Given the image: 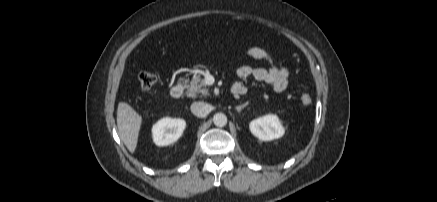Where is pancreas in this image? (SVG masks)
I'll return each mask as SVG.
<instances>
[{"mask_svg": "<svg viewBox=\"0 0 437 202\" xmlns=\"http://www.w3.org/2000/svg\"><path fill=\"white\" fill-rule=\"evenodd\" d=\"M182 82L187 88L186 95L191 98H197L202 96H208L209 92L206 88L205 81L200 77V75H195L189 81L188 79H182Z\"/></svg>", "mask_w": 437, "mask_h": 202, "instance_id": "cf45deb5", "label": "pancreas"}]
</instances>
